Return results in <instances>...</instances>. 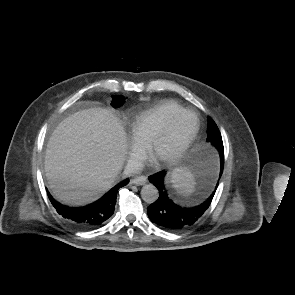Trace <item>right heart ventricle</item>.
I'll list each match as a JSON object with an SVG mask.
<instances>
[{
  "mask_svg": "<svg viewBox=\"0 0 295 295\" xmlns=\"http://www.w3.org/2000/svg\"><path fill=\"white\" fill-rule=\"evenodd\" d=\"M184 108L174 101H164L133 117L130 130L133 139L147 147L156 134Z\"/></svg>",
  "mask_w": 295,
  "mask_h": 295,
  "instance_id": "e07e8e85",
  "label": "right heart ventricle"
}]
</instances>
